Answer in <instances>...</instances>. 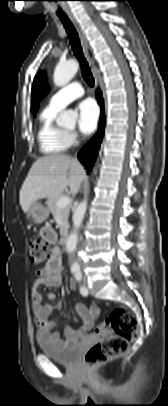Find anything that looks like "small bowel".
I'll return each instance as SVG.
<instances>
[{
	"label": "small bowel",
	"instance_id": "small-bowel-1",
	"mask_svg": "<svg viewBox=\"0 0 168 406\" xmlns=\"http://www.w3.org/2000/svg\"><path fill=\"white\" fill-rule=\"evenodd\" d=\"M41 237L49 244H55L57 240L56 232L51 227H43L40 231ZM63 269L62 258L59 250L55 248L52 255L47 261V264L40 270L35 272V281L33 283L31 299L34 321L37 326V335L57 346H71L79 339L84 338L87 332L94 327L96 318L101 310L95 305L77 304L76 310L83 319V326L79 330H75L70 326H66L63 331L64 338L57 332H54L55 322L49 320V316L57 309L62 307L59 301H56V295L53 292L48 293V299L53 303L43 304V296L38 291L42 285L56 286L60 282V272ZM70 287L75 289V282H70ZM96 333L101 334L96 328Z\"/></svg>",
	"mask_w": 168,
	"mask_h": 406
}]
</instances>
